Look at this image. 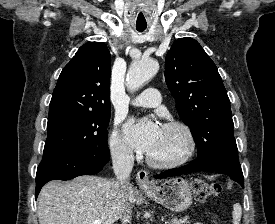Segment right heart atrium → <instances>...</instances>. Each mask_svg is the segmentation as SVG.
<instances>
[{
	"instance_id": "1",
	"label": "right heart atrium",
	"mask_w": 275,
	"mask_h": 224,
	"mask_svg": "<svg viewBox=\"0 0 275 224\" xmlns=\"http://www.w3.org/2000/svg\"><path fill=\"white\" fill-rule=\"evenodd\" d=\"M109 147L116 158L127 160L132 157L131 150L123 139L118 127H115L110 135Z\"/></svg>"
}]
</instances>
